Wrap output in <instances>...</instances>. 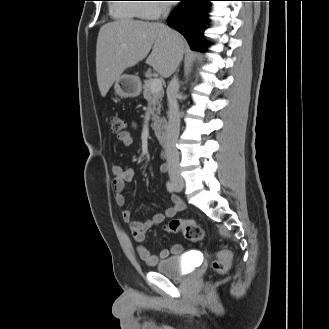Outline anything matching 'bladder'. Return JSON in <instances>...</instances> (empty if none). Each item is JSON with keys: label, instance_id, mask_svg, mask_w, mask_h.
I'll return each instance as SVG.
<instances>
[{"label": "bladder", "instance_id": "obj_1", "mask_svg": "<svg viewBox=\"0 0 329 329\" xmlns=\"http://www.w3.org/2000/svg\"><path fill=\"white\" fill-rule=\"evenodd\" d=\"M155 271L169 278H182L184 270L183 256H168L155 264Z\"/></svg>", "mask_w": 329, "mask_h": 329}]
</instances>
